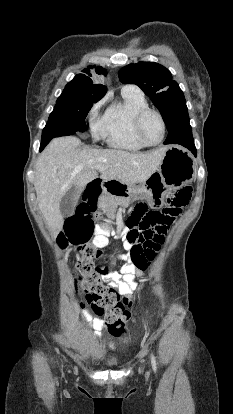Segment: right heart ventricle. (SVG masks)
Here are the masks:
<instances>
[{
    "mask_svg": "<svg viewBox=\"0 0 233 414\" xmlns=\"http://www.w3.org/2000/svg\"><path fill=\"white\" fill-rule=\"evenodd\" d=\"M122 100L113 103L99 119L96 132L109 146L117 149L138 151L148 147L135 130L137 114L149 108L145 96L138 90L123 88Z\"/></svg>",
    "mask_w": 233,
    "mask_h": 414,
    "instance_id": "1",
    "label": "right heart ventricle"
}]
</instances>
